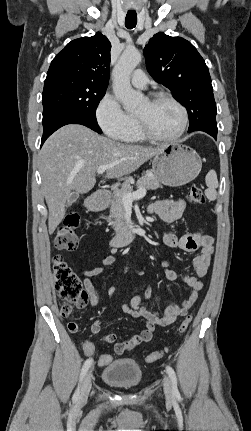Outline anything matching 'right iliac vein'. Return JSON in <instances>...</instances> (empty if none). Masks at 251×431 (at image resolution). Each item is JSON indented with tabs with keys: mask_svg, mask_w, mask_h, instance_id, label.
I'll return each instance as SVG.
<instances>
[{
	"mask_svg": "<svg viewBox=\"0 0 251 431\" xmlns=\"http://www.w3.org/2000/svg\"><path fill=\"white\" fill-rule=\"evenodd\" d=\"M91 387H92V371L90 370L86 374L84 381H83V384H82L81 392L79 395V401L80 402H84L87 400L89 392L91 390Z\"/></svg>",
	"mask_w": 251,
	"mask_h": 431,
	"instance_id": "right-iliac-vein-1",
	"label": "right iliac vein"
}]
</instances>
